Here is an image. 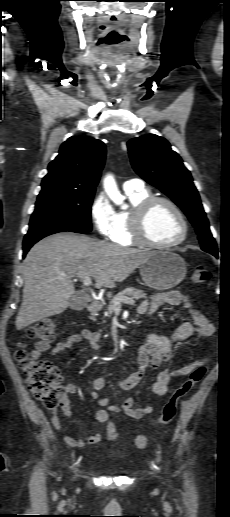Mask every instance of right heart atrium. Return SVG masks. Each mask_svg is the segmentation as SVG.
I'll return each mask as SVG.
<instances>
[{
	"mask_svg": "<svg viewBox=\"0 0 230 517\" xmlns=\"http://www.w3.org/2000/svg\"><path fill=\"white\" fill-rule=\"evenodd\" d=\"M90 216L98 234L111 239L117 223V213L104 194H98L90 206Z\"/></svg>",
	"mask_w": 230,
	"mask_h": 517,
	"instance_id": "1",
	"label": "right heart atrium"
}]
</instances>
